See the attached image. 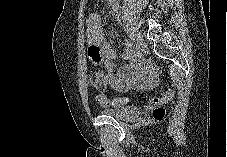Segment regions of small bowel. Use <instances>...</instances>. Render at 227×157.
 <instances>
[{"label":"small bowel","mask_w":227,"mask_h":157,"mask_svg":"<svg viewBox=\"0 0 227 157\" xmlns=\"http://www.w3.org/2000/svg\"><path fill=\"white\" fill-rule=\"evenodd\" d=\"M87 26V39L90 45L87 50L90 62H102L105 69V72H97V80L93 84L97 89L108 86L121 92L132 89L145 91L154 86L157 80L155 69L143 62L131 42L126 43L121 56L129 63L116 70L115 60L118 54L112 44L104 40L100 15L91 13L87 19Z\"/></svg>","instance_id":"c3829d8e"}]
</instances>
